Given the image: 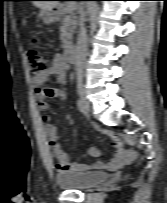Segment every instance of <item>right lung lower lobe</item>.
I'll return each instance as SVG.
<instances>
[{"instance_id": "obj_1", "label": "right lung lower lobe", "mask_w": 167, "mask_h": 203, "mask_svg": "<svg viewBox=\"0 0 167 203\" xmlns=\"http://www.w3.org/2000/svg\"><path fill=\"white\" fill-rule=\"evenodd\" d=\"M29 1H32V0H29ZM56 1H59V0H56ZM80 1H90V0H80ZM93 1H101V0H93Z\"/></svg>"}]
</instances>
